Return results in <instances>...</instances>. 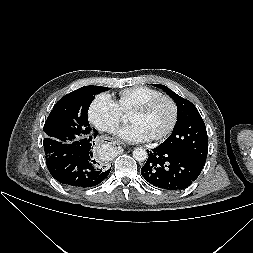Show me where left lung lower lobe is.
<instances>
[{
	"label": "left lung lower lobe",
	"instance_id": "0a47b994",
	"mask_svg": "<svg viewBox=\"0 0 253 253\" xmlns=\"http://www.w3.org/2000/svg\"><path fill=\"white\" fill-rule=\"evenodd\" d=\"M147 152L149 157L141 169V174L150 184L166 190L187 188L200 175L205 164L161 145Z\"/></svg>",
	"mask_w": 253,
	"mask_h": 253
}]
</instances>
